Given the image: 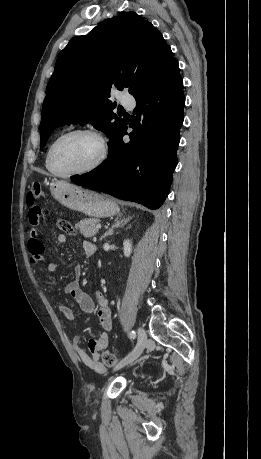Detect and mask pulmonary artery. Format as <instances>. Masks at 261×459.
<instances>
[{"label":"pulmonary artery","mask_w":261,"mask_h":459,"mask_svg":"<svg viewBox=\"0 0 261 459\" xmlns=\"http://www.w3.org/2000/svg\"><path fill=\"white\" fill-rule=\"evenodd\" d=\"M121 104L127 108H133L135 105V101L133 98L130 97H122Z\"/></svg>","instance_id":"e3ab8cb5"}]
</instances>
